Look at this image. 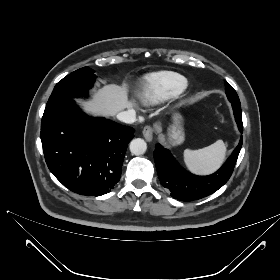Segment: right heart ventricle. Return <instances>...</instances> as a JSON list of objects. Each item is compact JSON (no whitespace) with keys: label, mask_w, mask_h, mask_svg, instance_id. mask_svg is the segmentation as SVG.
Listing matches in <instances>:
<instances>
[{"label":"right heart ventricle","mask_w":280,"mask_h":280,"mask_svg":"<svg viewBox=\"0 0 280 280\" xmlns=\"http://www.w3.org/2000/svg\"><path fill=\"white\" fill-rule=\"evenodd\" d=\"M186 87L184 76L170 71L157 72L144 77L139 97L145 105H155L180 94Z\"/></svg>","instance_id":"obj_1"}]
</instances>
